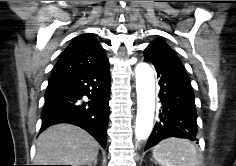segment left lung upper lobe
Segmentation results:
<instances>
[{
    "label": "left lung upper lobe",
    "mask_w": 236,
    "mask_h": 166,
    "mask_svg": "<svg viewBox=\"0 0 236 166\" xmlns=\"http://www.w3.org/2000/svg\"><path fill=\"white\" fill-rule=\"evenodd\" d=\"M145 59L152 63L179 60L175 52L162 40H155L145 49Z\"/></svg>",
    "instance_id": "5c2ea615"
}]
</instances>
